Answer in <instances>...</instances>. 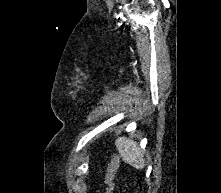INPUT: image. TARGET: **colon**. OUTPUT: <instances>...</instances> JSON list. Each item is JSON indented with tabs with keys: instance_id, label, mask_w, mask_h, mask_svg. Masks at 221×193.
Instances as JSON below:
<instances>
[{
	"instance_id": "obj_1",
	"label": "colon",
	"mask_w": 221,
	"mask_h": 193,
	"mask_svg": "<svg viewBox=\"0 0 221 193\" xmlns=\"http://www.w3.org/2000/svg\"><path fill=\"white\" fill-rule=\"evenodd\" d=\"M120 165L119 158L115 155H111L110 163L108 165L106 175H105V184H106V193H113L115 188V177Z\"/></svg>"
}]
</instances>
